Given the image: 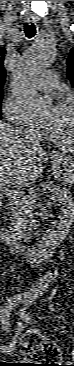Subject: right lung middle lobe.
I'll list each match as a JSON object with an SVG mask.
<instances>
[{
  "label": "right lung middle lobe",
  "instance_id": "obj_1",
  "mask_svg": "<svg viewBox=\"0 0 74 366\" xmlns=\"http://www.w3.org/2000/svg\"><path fill=\"white\" fill-rule=\"evenodd\" d=\"M3 98V91L0 92V102L2 101Z\"/></svg>",
  "mask_w": 74,
  "mask_h": 366
}]
</instances>
